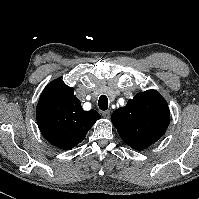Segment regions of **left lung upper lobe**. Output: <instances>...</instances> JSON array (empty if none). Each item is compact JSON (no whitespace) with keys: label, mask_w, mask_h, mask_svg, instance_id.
<instances>
[{"label":"left lung upper lobe","mask_w":199,"mask_h":199,"mask_svg":"<svg viewBox=\"0 0 199 199\" xmlns=\"http://www.w3.org/2000/svg\"><path fill=\"white\" fill-rule=\"evenodd\" d=\"M111 121L121 138L152 145L168 128L170 111L165 99L155 90L138 93L127 105L115 110Z\"/></svg>","instance_id":"1"}]
</instances>
